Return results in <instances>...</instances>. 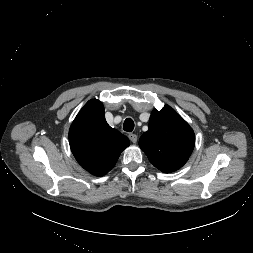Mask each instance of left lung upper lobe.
<instances>
[{
    "mask_svg": "<svg viewBox=\"0 0 253 253\" xmlns=\"http://www.w3.org/2000/svg\"><path fill=\"white\" fill-rule=\"evenodd\" d=\"M195 145V135L188 123L171 107L154 109L149 129L139 146L150 162L164 173L181 168L189 159Z\"/></svg>",
    "mask_w": 253,
    "mask_h": 253,
    "instance_id": "1",
    "label": "left lung upper lobe"
}]
</instances>
